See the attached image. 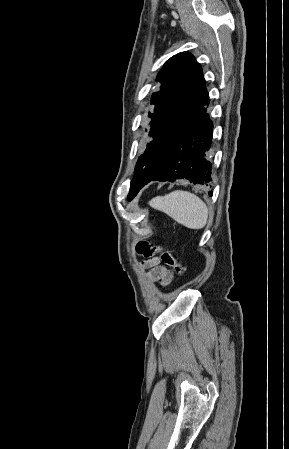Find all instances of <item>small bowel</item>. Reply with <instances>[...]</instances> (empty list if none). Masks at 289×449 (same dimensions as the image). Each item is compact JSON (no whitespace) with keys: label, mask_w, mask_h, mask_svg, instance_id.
I'll return each mask as SVG.
<instances>
[{"label":"small bowel","mask_w":289,"mask_h":449,"mask_svg":"<svg viewBox=\"0 0 289 449\" xmlns=\"http://www.w3.org/2000/svg\"><path fill=\"white\" fill-rule=\"evenodd\" d=\"M144 268L148 269V276L153 281L167 286L171 283L173 279L172 272L165 266L159 264V259L157 257L149 258L142 262Z\"/></svg>","instance_id":"c3829d8e"}]
</instances>
